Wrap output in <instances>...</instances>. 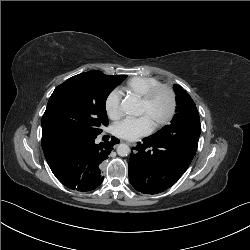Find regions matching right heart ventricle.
I'll return each mask as SVG.
<instances>
[{"label":"right heart ventricle","mask_w":250,"mask_h":250,"mask_svg":"<svg viewBox=\"0 0 250 250\" xmlns=\"http://www.w3.org/2000/svg\"><path fill=\"white\" fill-rule=\"evenodd\" d=\"M160 84L161 82L155 77L135 76L127 80L121 90L141 97L148 90Z\"/></svg>","instance_id":"1"}]
</instances>
